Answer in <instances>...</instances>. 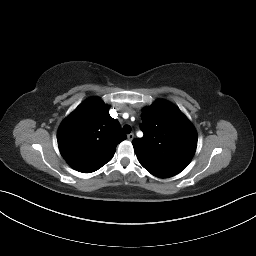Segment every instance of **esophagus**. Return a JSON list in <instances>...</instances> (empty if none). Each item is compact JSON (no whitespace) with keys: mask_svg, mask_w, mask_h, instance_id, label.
<instances>
[{"mask_svg":"<svg viewBox=\"0 0 256 256\" xmlns=\"http://www.w3.org/2000/svg\"><path fill=\"white\" fill-rule=\"evenodd\" d=\"M128 140L132 141L134 139V134L130 133L127 135Z\"/></svg>","mask_w":256,"mask_h":256,"instance_id":"obj_1","label":"esophagus"}]
</instances>
